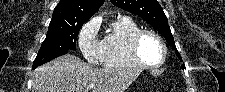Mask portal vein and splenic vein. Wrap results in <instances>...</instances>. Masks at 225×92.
I'll use <instances>...</instances> for the list:
<instances>
[{
  "instance_id": "1",
  "label": "portal vein and splenic vein",
  "mask_w": 225,
  "mask_h": 92,
  "mask_svg": "<svg viewBox=\"0 0 225 92\" xmlns=\"http://www.w3.org/2000/svg\"><path fill=\"white\" fill-rule=\"evenodd\" d=\"M88 88H89V89L94 88V84H90V85L88 86Z\"/></svg>"
}]
</instances>
